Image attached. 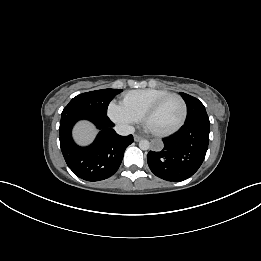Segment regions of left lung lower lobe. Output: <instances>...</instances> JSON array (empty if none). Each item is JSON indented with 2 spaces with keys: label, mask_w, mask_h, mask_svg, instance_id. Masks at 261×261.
Masks as SVG:
<instances>
[{
  "label": "left lung lower lobe",
  "mask_w": 261,
  "mask_h": 261,
  "mask_svg": "<svg viewBox=\"0 0 261 261\" xmlns=\"http://www.w3.org/2000/svg\"><path fill=\"white\" fill-rule=\"evenodd\" d=\"M209 130V118H201L186 122L174 135L164 138L162 147L147 155L153 174L173 182L191 177L205 158Z\"/></svg>",
  "instance_id": "left-lung-lower-lobe-1"
}]
</instances>
